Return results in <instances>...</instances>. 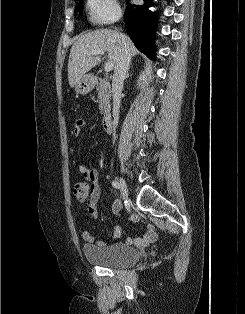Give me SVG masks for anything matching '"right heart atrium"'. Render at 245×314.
<instances>
[{"instance_id": "d8ad5b80", "label": "right heart atrium", "mask_w": 245, "mask_h": 314, "mask_svg": "<svg viewBox=\"0 0 245 314\" xmlns=\"http://www.w3.org/2000/svg\"><path fill=\"white\" fill-rule=\"evenodd\" d=\"M86 8L90 21L99 26L111 24L121 16L116 0H87Z\"/></svg>"}]
</instances>
